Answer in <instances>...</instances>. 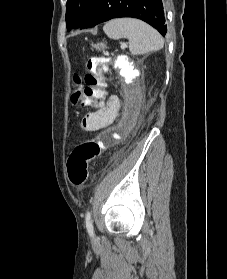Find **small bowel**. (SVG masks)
I'll use <instances>...</instances> for the list:
<instances>
[{"label": "small bowel", "mask_w": 227, "mask_h": 279, "mask_svg": "<svg viewBox=\"0 0 227 279\" xmlns=\"http://www.w3.org/2000/svg\"><path fill=\"white\" fill-rule=\"evenodd\" d=\"M121 108V100L116 94H110L101 102L98 110L87 114L81 120V128L85 131H99L113 124Z\"/></svg>", "instance_id": "1"}]
</instances>
